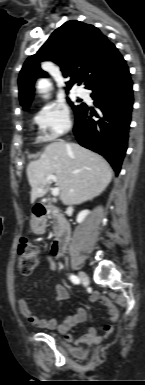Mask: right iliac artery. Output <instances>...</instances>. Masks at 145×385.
<instances>
[{
	"label": "right iliac artery",
	"instance_id": "obj_1",
	"mask_svg": "<svg viewBox=\"0 0 145 385\" xmlns=\"http://www.w3.org/2000/svg\"><path fill=\"white\" fill-rule=\"evenodd\" d=\"M70 279H71V281H72L74 284H79V283H80V279H79L77 276H75V275H71V276H70Z\"/></svg>",
	"mask_w": 145,
	"mask_h": 385
}]
</instances>
